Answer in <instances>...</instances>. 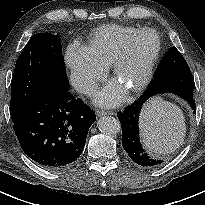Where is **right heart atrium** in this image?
Instances as JSON below:
<instances>
[{
    "mask_svg": "<svg viewBox=\"0 0 205 205\" xmlns=\"http://www.w3.org/2000/svg\"><path fill=\"white\" fill-rule=\"evenodd\" d=\"M65 61L74 86L84 94H92L105 77L106 67L96 61L88 49L77 43L67 47Z\"/></svg>",
    "mask_w": 205,
    "mask_h": 205,
    "instance_id": "d8ad5b80",
    "label": "right heart atrium"
}]
</instances>
